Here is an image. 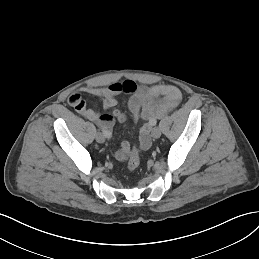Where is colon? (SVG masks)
Instances as JSON below:
<instances>
[{"mask_svg":"<svg viewBox=\"0 0 259 259\" xmlns=\"http://www.w3.org/2000/svg\"><path fill=\"white\" fill-rule=\"evenodd\" d=\"M134 116L137 119L139 116V113L138 112L134 113ZM139 165H140V155L136 149H132L127 162V168L129 171H134L139 167Z\"/></svg>","mask_w":259,"mask_h":259,"instance_id":"colon-1","label":"colon"}]
</instances>
